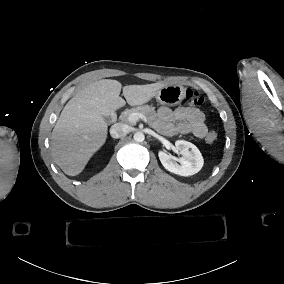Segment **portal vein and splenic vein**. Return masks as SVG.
Segmentation results:
<instances>
[{
	"instance_id": "1",
	"label": "portal vein and splenic vein",
	"mask_w": 284,
	"mask_h": 284,
	"mask_svg": "<svg viewBox=\"0 0 284 284\" xmlns=\"http://www.w3.org/2000/svg\"><path fill=\"white\" fill-rule=\"evenodd\" d=\"M143 120L144 122H147V118L145 115L141 114V113H132L129 115L128 117V121L130 123H136L138 122L139 120Z\"/></svg>"
}]
</instances>
